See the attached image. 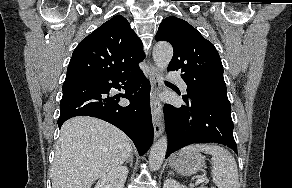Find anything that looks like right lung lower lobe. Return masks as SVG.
Masks as SVG:
<instances>
[{
    "instance_id": "98d812e1",
    "label": "right lung lower lobe",
    "mask_w": 292,
    "mask_h": 188,
    "mask_svg": "<svg viewBox=\"0 0 292 188\" xmlns=\"http://www.w3.org/2000/svg\"><path fill=\"white\" fill-rule=\"evenodd\" d=\"M121 88L125 94L109 95L111 89ZM149 94L150 82L140 68L122 75L66 77L58 126L75 116L100 118L127 134L143 155L153 142ZM120 97L128 99L130 105H119Z\"/></svg>"
}]
</instances>
